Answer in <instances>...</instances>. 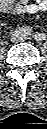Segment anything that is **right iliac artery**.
Returning <instances> with one entry per match:
<instances>
[{
	"instance_id": "82829eb1",
	"label": "right iliac artery",
	"mask_w": 47,
	"mask_h": 129,
	"mask_svg": "<svg viewBox=\"0 0 47 129\" xmlns=\"http://www.w3.org/2000/svg\"><path fill=\"white\" fill-rule=\"evenodd\" d=\"M25 31H26L27 34H31V32H32L31 28H29V27H26Z\"/></svg>"
}]
</instances>
